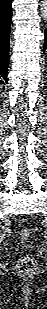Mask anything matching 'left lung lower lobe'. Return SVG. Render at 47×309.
I'll return each mask as SVG.
<instances>
[{
	"label": "left lung lower lobe",
	"instance_id": "1",
	"mask_svg": "<svg viewBox=\"0 0 47 309\" xmlns=\"http://www.w3.org/2000/svg\"><path fill=\"white\" fill-rule=\"evenodd\" d=\"M47 49V29L45 30V42H44V47H43V52Z\"/></svg>",
	"mask_w": 47,
	"mask_h": 309
}]
</instances>
